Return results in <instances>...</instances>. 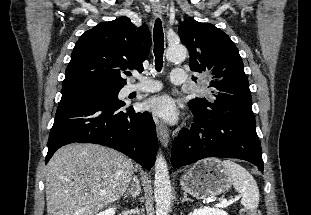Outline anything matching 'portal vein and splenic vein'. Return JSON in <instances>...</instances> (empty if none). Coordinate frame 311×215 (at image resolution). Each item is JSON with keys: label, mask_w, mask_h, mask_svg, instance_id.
I'll list each match as a JSON object with an SVG mask.
<instances>
[{"label": "portal vein and splenic vein", "mask_w": 311, "mask_h": 215, "mask_svg": "<svg viewBox=\"0 0 311 215\" xmlns=\"http://www.w3.org/2000/svg\"><path fill=\"white\" fill-rule=\"evenodd\" d=\"M238 198H240V196H238L237 198H232L229 201H227L226 199H223L220 203L216 204L215 206L219 208H225L229 206L230 204H232L233 202H235Z\"/></svg>", "instance_id": "portal-vein-and-splenic-vein-1"}]
</instances>
